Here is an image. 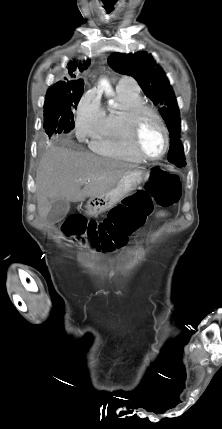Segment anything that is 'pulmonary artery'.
Instances as JSON below:
<instances>
[{
  "label": "pulmonary artery",
  "instance_id": "1",
  "mask_svg": "<svg viewBox=\"0 0 222 429\" xmlns=\"http://www.w3.org/2000/svg\"><path fill=\"white\" fill-rule=\"evenodd\" d=\"M118 89L138 90L136 84L129 78H122L117 84Z\"/></svg>",
  "mask_w": 222,
  "mask_h": 429
}]
</instances>
